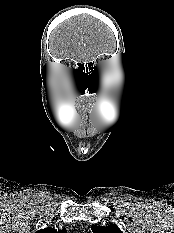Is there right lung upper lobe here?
<instances>
[{"label": "right lung upper lobe", "mask_w": 174, "mask_h": 233, "mask_svg": "<svg viewBox=\"0 0 174 233\" xmlns=\"http://www.w3.org/2000/svg\"><path fill=\"white\" fill-rule=\"evenodd\" d=\"M36 233H67V231L65 229L57 231L54 228L49 227V228L41 229L37 231Z\"/></svg>", "instance_id": "1"}]
</instances>
